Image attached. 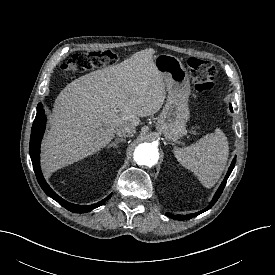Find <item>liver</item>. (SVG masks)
<instances>
[{
	"mask_svg": "<svg viewBox=\"0 0 275 275\" xmlns=\"http://www.w3.org/2000/svg\"><path fill=\"white\" fill-rule=\"evenodd\" d=\"M154 49L93 71L69 83L55 100L50 130L42 143V165L50 172L105 147L122 123L157 113L165 83L153 60Z\"/></svg>",
	"mask_w": 275,
	"mask_h": 275,
	"instance_id": "6515ba94",
	"label": "liver"
}]
</instances>
